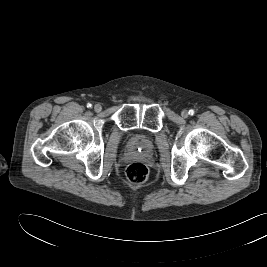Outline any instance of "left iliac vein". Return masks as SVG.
I'll use <instances>...</instances> for the list:
<instances>
[{"label": "left iliac vein", "mask_w": 267, "mask_h": 267, "mask_svg": "<svg viewBox=\"0 0 267 267\" xmlns=\"http://www.w3.org/2000/svg\"><path fill=\"white\" fill-rule=\"evenodd\" d=\"M181 115H182L183 118H187V117L189 116V113H188L187 110H183V111L181 112Z\"/></svg>", "instance_id": "obj_1"}]
</instances>
